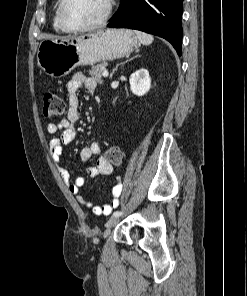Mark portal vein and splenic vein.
Returning <instances> with one entry per match:
<instances>
[{
    "label": "portal vein and splenic vein",
    "instance_id": "1",
    "mask_svg": "<svg viewBox=\"0 0 247 296\" xmlns=\"http://www.w3.org/2000/svg\"><path fill=\"white\" fill-rule=\"evenodd\" d=\"M103 77H108V71L107 70H104L103 73H102Z\"/></svg>",
    "mask_w": 247,
    "mask_h": 296
}]
</instances>
